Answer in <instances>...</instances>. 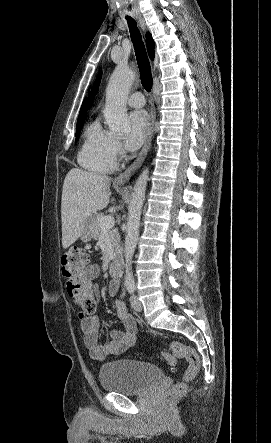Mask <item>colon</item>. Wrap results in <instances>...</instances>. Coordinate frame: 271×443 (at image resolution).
<instances>
[{"instance_id": "5ec220e1", "label": "colon", "mask_w": 271, "mask_h": 443, "mask_svg": "<svg viewBox=\"0 0 271 443\" xmlns=\"http://www.w3.org/2000/svg\"><path fill=\"white\" fill-rule=\"evenodd\" d=\"M90 262V254L84 248H72L61 258L62 273L67 279V292L84 313L91 315L96 311L94 287L85 276V269ZM172 355L162 352V359L169 365H174V358L185 359L188 367L183 375V381L175 384L164 395L167 404L173 403L181 396L186 388V382L194 379L200 370V359L196 351L190 346L174 341L170 344Z\"/></svg>"}]
</instances>
